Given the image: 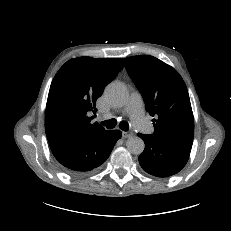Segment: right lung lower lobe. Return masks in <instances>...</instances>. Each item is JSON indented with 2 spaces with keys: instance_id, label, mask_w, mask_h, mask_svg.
<instances>
[{
  "instance_id": "right-lung-lower-lobe-1",
  "label": "right lung lower lobe",
  "mask_w": 231,
  "mask_h": 231,
  "mask_svg": "<svg viewBox=\"0 0 231 231\" xmlns=\"http://www.w3.org/2000/svg\"><path fill=\"white\" fill-rule=\"evenodd\" d=\"M121 136L119 130H105L93 135L51 141L49 145L68 174L81 175L102 165Z\"/></svg>"
}]
</instances>
